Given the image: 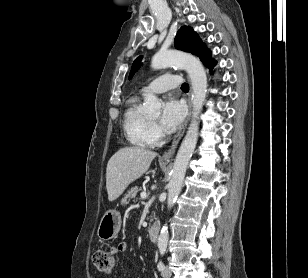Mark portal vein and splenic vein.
<instances>
[{
	"mask_svg": "<svg viewBox=\"0 0 308 278\" xmlns=\"http://www.w3.org/2000/svg\"><path fill=\"white\" fill-rule=\"evenodd\" d=\"M146 196H147L146 192H142V193L140 194L141 199H145Z\"/></svg>",
	"mask_w": 308,
	"mask_h": 278,
	"instance_id": "obj_1",
	"label": "portal vein and splenic vein"
}]
</instances>
